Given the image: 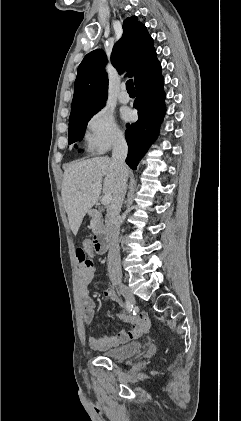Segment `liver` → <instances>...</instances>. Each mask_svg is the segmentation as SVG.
Listing matches in <instances>:
<instances>
[{
	"instance_id": "obj_1",
	"label": "liver",
	"mask_w": 241,
	"mask_h": 421,
	"mask_svg": "<svg viewBox=\"0 0 241 421\" xmlns=\"http://www.w3.org/2000/svg\"><path fill=\"white\" fill-rule=\"evenodd\" d=\"M118 173L108 157H94L70 164L62 181V200L70 229L78 233L84 216L97 202L101 191L113 195ZM103 182V185H102Z\"/></svg>"
}]
</instances>
